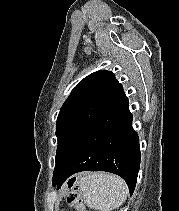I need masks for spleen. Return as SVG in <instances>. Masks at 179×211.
I'll return each instance as SVG.
<instances>
[{
  "instance_id": "obj_1",
  "label": "spleen",
  "mask_w": 179,
  "mask_h": 211,
  "mask_svg": "<svg viewBox=\"0 0 179 211\" xmlns=\"http://www.w3.org/2000/svg\"><path fill=\"white\" fill-rule=\"evenodd\" d=\"M80 188L87 206L100 211L120 207L128 194V187L122 178L105 172L84 174L80 178Z\"/></svg>"
}]
</instances>
